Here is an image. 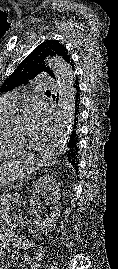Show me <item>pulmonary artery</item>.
I'll list each match as a JSON object with an SVG mask.
<instances>
[{"mask_svg": "<svg viewBox=\"0 0 118 269\" xmlns=\"http://www.w3.org/2000/svg\"><path fill=\"white\" fill-rule=\"evenodd\" d=\"M37 84L39 87L41 88H45V89H54L57 86V83L48 77H39L37 79ZM18 98V93L13 91V92H9L3 96L0 97V106L6 109H10L13 110L15 103L17 101Z\"/></svg>", "mask_w": 118, "mask_h": 269, "instance_id": "pulmonary-artery-1", "label": "pulmonary artery"}]
</instances>
